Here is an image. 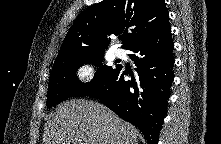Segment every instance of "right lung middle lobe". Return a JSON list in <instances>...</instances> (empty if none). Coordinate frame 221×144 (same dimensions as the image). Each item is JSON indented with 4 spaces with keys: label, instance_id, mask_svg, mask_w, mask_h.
<instances>
[{
    "label": "right lung middle lobe",
    "instance_id": "dd1d6c3e",
    "mask_svg": "<svg viewBox=\"0 0 221 144\" xmlns=\"http://www.w3.org/2000/svg\"><path fill=\"white\" fill-rule=\"evenodd\" d=\"M102 60L103 53H100L53 67L48 84L47 106L52 107L54 104L69 97L85 96L106 82L119 66L117 65L115 69L105 65L101 66ZM86 62L100 67L97 69L94 79L91 82L81 83L76 77V72Z\"/></svg>",
    "mask_w": 221,
    "mask_h": 144
}]
</instances>
